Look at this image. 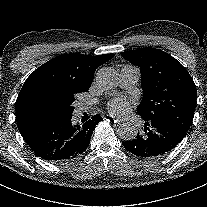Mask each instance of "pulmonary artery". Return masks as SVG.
Listing matches in <instances>:
<instances>
[{"mask_svg": "<svg viewBox=\"0 0 207 207\" xmlns=\"http://www.w3.org/2000/svg\"><path fill=\"white\" fill-rule=\"evenodd\" d=\"M140 72L137 68L124 66L120 71V80L123 87H131L139 79Z\"/></svg>", "mask_w": 207, "mask_h": 207, "instance_id": "obj_1", "label": "pulmonary artery"}]
</instances>
